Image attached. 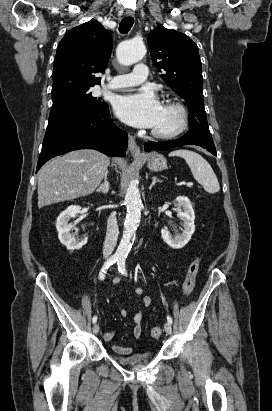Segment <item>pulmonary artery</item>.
Here are the masks:
<instances>
[{"mask_svg": "<svg viewBox=\"0 0 272 411\" xmlns=\"http://www.w3.org/2000/svg\"><path fill=\"white\" fill-rule=\"evenodd\" d=\"M148 77L147 66L139 63L135 66L134 71L127 74L115 76L107 89H120L142 84Z\"/></svg>", "mask_w": 272, "mask_h": 411, "instance_id": "obj_1", "label": "pulmonary artery"}]
</instances>
